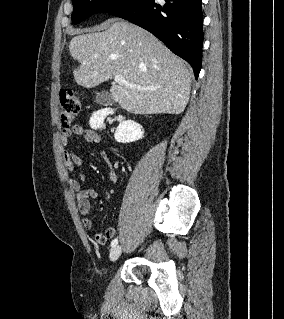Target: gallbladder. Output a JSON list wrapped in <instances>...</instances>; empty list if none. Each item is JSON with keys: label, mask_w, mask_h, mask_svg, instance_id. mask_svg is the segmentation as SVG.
<instances>
[{"label": "gallbladder", "mask_w": 284, "mask_h": 319, "mask_svg": "<svg viewBox=\"0 0 284 319\" xmlns=\"http://www.w3.org/2000/svg\"><path fill=\"white\" fill-rule=\"evenodd\" d=\"M96 99L95 101L101 105H109L113 103V99L107 91H99L96 92Z\"/></svg>", "instance_id": "bac80fb5"}]
</instances>
